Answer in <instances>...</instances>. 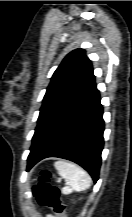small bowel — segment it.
<instances>
[{
	"instance_id": "c3829d8e",
	"label": "small bowel",
	"mask_w": 132,
	"mask_h": 217,
	"mask_svg": "<svg viewBox=\"0 0 132 217\" xmlns=\"http://www.w3.org/2000/svg\"><path fill=\"white\" fill-rule=\"evenodd\" d=\"M47 217H57V216H53V215L49 214V215H47Z\"/></svg>"
}]
</instances>
